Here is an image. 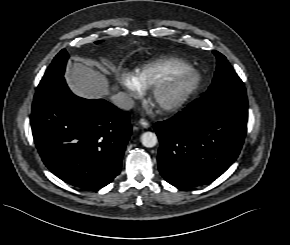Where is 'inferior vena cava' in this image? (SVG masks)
<instances>
[{"mask_svg":"<svg viewBox=\"0 0 290 245\" xmlns=\"http://www.w3.org/2000/svg\"><path fill=\"white\" fill-rule=\"evenodd\" d=\"M112 103L122 110H130L134 106L133 99L125 92H119L111 97Z\"/></svg>","mask_w":290,"mask_h":245,"instance_id":"1","label":"inferior vena cava"}]
</instances>
